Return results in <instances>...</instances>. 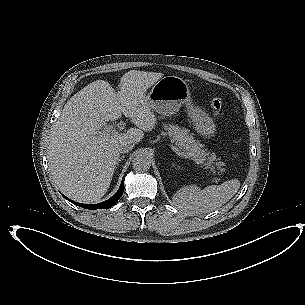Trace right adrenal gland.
I'll return each mask as SVG.
<instances>
[{
	"instance_id": "right-adrenal-gland-1",
	"label": "right adrenal gland",
	"mask_w": 305,
	"mask_h": 305,
	"mask_svg": "<svg viewBox=\"0 0 305 305\" xmlns=\"http://www.w3.org/2000/svg\"><path fill=\"white\" fill-rule=\"evenodd\" d=\"M123 158H124V156L119 157L117 166H119V164L121 163V161L123 160Z\"/></svg>"
}]
</instances>
